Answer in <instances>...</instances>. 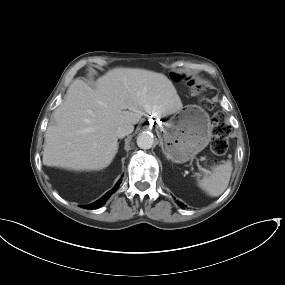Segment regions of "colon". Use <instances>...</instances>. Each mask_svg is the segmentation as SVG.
<instances>
[{
	"label": "colon",
	"mask_w": 285,
	"mask_h": 285,
	"mask_svg": "<svg viewBox=\"0 0 285 285\" xmlns=\"http://www.w3.org/2000/svg\"><path fill=\"white\" fill-rule=\"evenodd\" d=\"M200 104L207 110H211L214 107L211 101L206 98H202L200 100ZM212 121L214 126V138L212 139L210 145L211 153L213 155L224 154L228 148L226 136L230 131V128L226 124L224 117L219 113L213 117ZM213 162L214 161L212 158L206 160V163L209 165L213 164Z\"/></svg>",
	"instance_id": "colon-1"
}]
</instances>
